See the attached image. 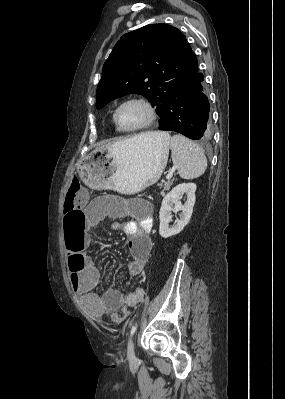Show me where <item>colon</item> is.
<instances>
[{
	"label": "colon",
	"instance_id": "5ec220e1",
	"mask_svg": "<svg viewBox=\"0 0 285 399\" xmlns=\"http://www.w3.org/2000/svg\"><path fill=\"white\" fill-rule=\"evenodd\" d=\"M83 185L79 180L74 179L69 187L65 203V219L70 227H73L84 220V214L79 209V199L82 193ZM65 239L69 255V269L76 273L85 267L86 250L81 243L77 241L71 231L65 233ZM132 308L131 304H126L123 309L114 316V320L124 319ZM107 321V319H106Z\"/></svg>",
	"mask_w": 285,
	"mask_h": 399
}]
</instances>
